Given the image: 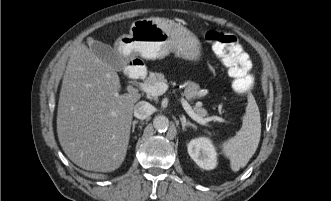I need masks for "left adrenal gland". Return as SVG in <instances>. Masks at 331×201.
<instances>
[{
  "label": "left adrenal gland",
  "mask_w": 331,
  "mask_h": 201,
  "mask_svg": "<svg viewBox=\"0 0 331 201\" xmlns=\"http://www.w3.org/2000/svg\"><path fill=\"white\" fill-rule=\"evenodd\" d=\"M180 121L182 124L183 131H186V127H192L194 129H196V126L193 123H191L190 121H187L185 117H180Z\"/></svg>",
  "instance_id": "obj_1"
}]
</instances>
